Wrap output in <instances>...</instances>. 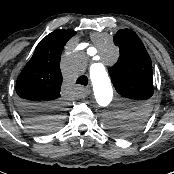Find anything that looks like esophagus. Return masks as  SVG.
I'll use <instances>...</instances> for the list:
<instances>
[{
  "label": "esophagus",
  "instance_id": "esophagus-1",
  "mask_svg": "<svg viewBox=\"0 0 174 174\" xmlns=\"http://www.w3.org/2000/svg\"><path fill=\"white\" fill-rule=\"evenodd\" d=\"M90 93H91L90 88H86V89L83 90V94L86 95V96L89 95Z\"/></svg>",
  "mask_w": 174,
  "mask_h": 174
}]
</instances>
